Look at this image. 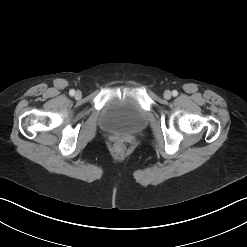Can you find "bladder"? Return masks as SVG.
Here are the masks:
<instances>
[{
  "instance_id": "bladder-1",
  "label": "bladder",
  "mask_w": 247,
  "mask_h": 247,
  "mask_svg": "<svg viewBox=\"0 0 247 247\" xmlns=\"http://www.w3.org/2000/svg\"><path fill=\"white\" fill-rule=\"evenodd\" d=\"M146 125L145 112L131 96L110 98L100 114L101 128L112 134H136L141 132Z\"/></svg>"
}]
</instances>
